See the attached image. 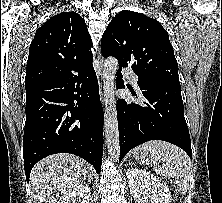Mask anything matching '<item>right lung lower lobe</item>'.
Segmentation results:
<instances>
[{
	"label": "right lung lower lobe",
	"mask_w": 222,
	"mask_h": 203,
	"mask_svg": "<svg viewBox=\"0 0 222 203\" xmlns=\"http://www.w3.org/2000/svg\"><path fill=\"white\" fill-rule=\"evenodd\" d=\"M23 137L27 182L33 166L55 153H71L99 174L103 155V108L93 67L26 87Z\"/></svg>",
	"instance_id": "1"
}]
</instances>
